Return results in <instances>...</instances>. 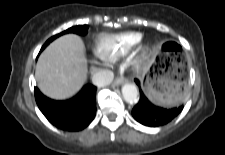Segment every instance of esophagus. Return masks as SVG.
I'll use <instances>...</instances> for the list:
<instances>
[{
  "instance_id": "obj_1",
  "label": "esophagus",
  "mask_w": 225,
  "mask_h": 155,
  "mask_svg": "<svg viewBox=\"0 0 225 155\" xmlns=\"http://www.w3.org/2000/svg\"><path fill=\"white\" fill-rule=\"evenodd\" d=\"M123 82H124V78L117 77L113 82V86H119V85L123 84Z\"/></svg>"
}]
</instances>
